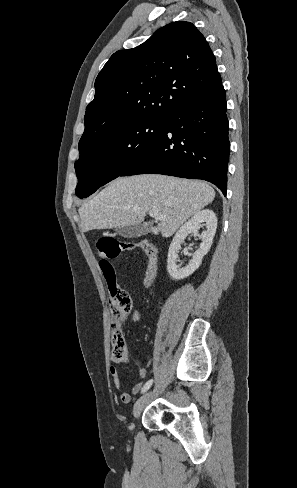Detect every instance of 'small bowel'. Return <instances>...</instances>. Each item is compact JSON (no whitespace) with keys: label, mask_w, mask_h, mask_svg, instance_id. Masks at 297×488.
<instances>
[{"label":"small bowel","mask_w":297,"mask_h":488,"mask_svg":"<svg viewBox=\"0 0 297 488\" xmlns=\"http://www.w3.org/2000/svg\"><path fill=\"white\" fill-rule=\"evenodd\" d=\"M140 317H141L140 312L134 310L123 318L122 324L126 323L129 319L134 321V322H137L140 320ZM109 372H110L114 387L116 388V390L121 391L122 385H121L119 369L115 366H112L110 368ZM146 376H147V369L146 368L140 369V371H139L140 379H144ZM144 385H143L142 381L134 384L132 389H131V394H137L143 388ZM131 394L126 393V392L121 393V395H120L121 401L125 404L130 403L131 399H132Z\"/></svg>","instance_id":"c3829d8e"}]
</instances>
